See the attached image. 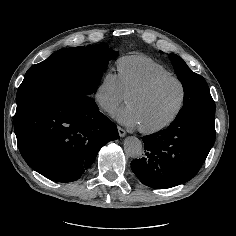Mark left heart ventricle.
Returning <instances> with one entry per match:
<instances>
[{"instance_id":"left-heart-ventricle-1","label":"left heart ventricle","mask_w":236,"mask_h":236,"mask_svg":"<svg viewBox=\"0 0 236 236\" xmlns=\"http://www.w3.org/2000/svg\"><path fill=\"white\" fill-rule=\"evenodd\" d=\"M181 87L174 81L165 82L146 95L132 98L129 106L137 115L141 127L156 126L176 111L181 100Z\"/></svg>"}]
</instances>
